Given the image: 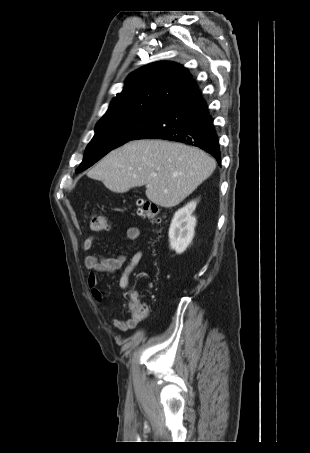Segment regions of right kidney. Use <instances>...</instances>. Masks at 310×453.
Segmentation results:
<instances>
[{"label":"right kidney","mask_w":310,"mask_h":453,"mask_svg":"<svg viewBox=\"0 0 310 453\" xmlns=\"http://www.w3.org/2000/svg\"><path fill=\"white\" fill-rule=\"evenodd\" d=\"M197 202L191 201L179 209L172 219L169 228L170 248L176 253H183L194 237L196 218L192 216Z\"/></svg>","instance_id":"obj_1"}]
</instances>
